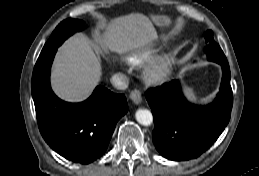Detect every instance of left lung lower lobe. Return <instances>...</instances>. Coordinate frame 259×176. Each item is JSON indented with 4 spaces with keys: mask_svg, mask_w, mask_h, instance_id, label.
Here are the masks:
<instances>
[{
    "mask_svg": "<svg viewBox=\"0 0 259 176\" xmlns=\"http://www.w3.org/2000/svg\"><path fill=\"white\" fill-rule=\"evenodd\" d=\"M220 91L207 106L190 104L178 80L146 92L155 128L153 142L159 153L170 160L194 159L205 152L224 131L233 104L228 63H222Z\"/></svg>",
    "mask_w": 259,
    "mask_h": 176,
    "instance_id": "1",
    "label": "left lung lower lobe"
}]
</instances>
